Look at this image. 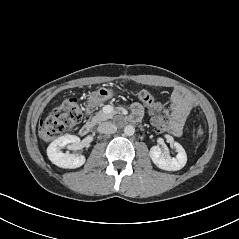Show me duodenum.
<instances>
[{
    "instance_id": "410a0bca",
    "label": "duodenum",
    "mask_w": 239,
    "mask_h": 239,
    "mask_svg": "<svg viewBox=\"0 0 239 239\" xmlns=\"http://www.w3.org/2000/svg\"><path fill=\"white\" fill-rule=\"evenodd\" d=\"M93 129V123L91 121L85 122L79 129V134L85 136Z\"/></svg>"
}]
</instances>
